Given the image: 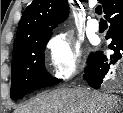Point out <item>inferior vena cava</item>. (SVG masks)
Returning <instances> with one entry per match:
<instances>
[{
	"label": "inferior vena cava",
	"mask_w": 123,
	"mask_h": 113,
	"mask_svg": "<svg viewBox=\"0 0 123 113\" xmlns=\"http://www.w3.org/2000/svg\"><path fill=\"white\" fill-rule=\"evenodd\" d=\"M80 90H81L83 93H88V92H89V89L86 88V87H82V88H80Z\"/></svg>",
	"instance_id": "602c4592"
}]
</instances>
